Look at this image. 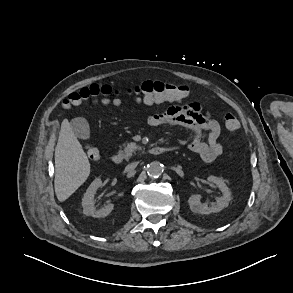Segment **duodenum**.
Here are the masks:
<instances>
[{
    "label": "duodenum",
    "mask_w": 293,
    "mask_h": 293,
    "mask_svg": "<svg viewBox=\"0 0 293 293\" xmlns=\"http://www.w3.org/2000/svg\"><path fill=\"white\" fill-rule=\"evenodd\" d=\"M173 147H163V146H154L150 148L149 153L154 156L162 155L168 151L174 150ZM124 160V156L122 153L118 152L112 155L111 161L115 164H120Z\"/></svg>",
    "instance_id": "obj_1"
}]
</instances>
